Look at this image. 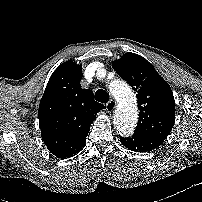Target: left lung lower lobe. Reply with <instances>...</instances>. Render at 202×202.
Masks as SVG:
<instances>
[{
	"label": "left lung lower lobe",
	"instance_id": "1",
	"mask_svg": "<svg viewBox=\"0 0 202 202\" xmlns=\"http://www.w3.org/2000/svg\"><path fill=\"white\" fill-rule=\"evenodd\" d=\"M121 143L129 150L150 152L163 143V139L133 134L131 137H120Z\"/></svg>",
	"mask_w": 202,
	"mask_h": 202
}]
</instances>
